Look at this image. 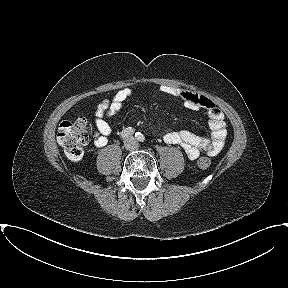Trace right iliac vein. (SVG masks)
I'll list each match as a JSON object with an SVG mask.
<instances>
[{
  "label": "right iliac vein",
  "mask_w": 288,
  "mask_h": 288,
  "mask_svg": "<svg viewBox=\"0 0 288 288\" xmlns=\"http://www.w3.org/2000/svg\"><path fill=\"white\" fill-rule=\"evenodd\" d=\"M128 147H129V144H128V142H127V144H126Z\"/></svg>",
  "instance_id": "63e3f726"
}]
</instances>
